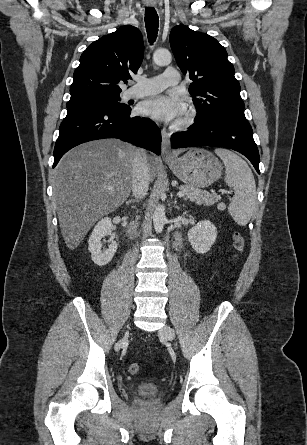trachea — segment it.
Listing matches in <instances>:
<instances>
[{"label":"trachea","mask_w":307,"mask_h":445,"mask_svg":"<svg viewBox=\"0 0 307 445\" xmlns=\"http://www.w3.org/2000/svg\"><path fill=\"white\" fill-rule=\"evenodd\" d=\"M144 19L149 42H154L157 37L159 27V19L155 8H145Z\"/></svg>","instance_id":"obj_1"}]
</instances>
